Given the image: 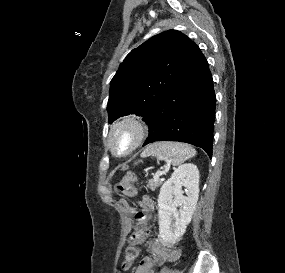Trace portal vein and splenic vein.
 <instances>
[{
    "label": "portal vein and splenic vein",
    "mask_w": 285,
    "mask_h": 273,
    "mask_svg": "<svg viewBox=\"0 0 285 273\" xmlns=\"http://www.w3.org/2000/svg\"><path fill=\"white\" fill-rule=\"evenodd\" d=\"M162 171H158V172H156V174L154 175V179L155 180H157V179H159V177L162 175Z\"/></svg>",
    "instance_id": "portal-vein-and-splenic-vein-1"
}]
</instances>
